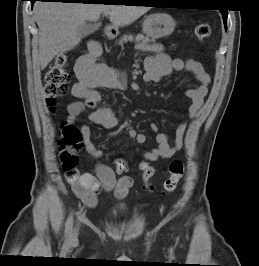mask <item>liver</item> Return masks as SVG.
Listing matches in <instances>:
<instances>
[{
	"label": "liver",
	"mask_w": 259,
	"mask_h": 266,
	"mask_svg": "<svg viewBox=\"0 0 259 266\" xmlns=\"http://www.w3.org/2000/svg\"><path fill=\"white\" fill-rule=\"evenodd\" d=\"M34 16L39 27V62L42 69L61 53L77 46L82 35L79 28L87 21H98L109 12L115 28L127 26L149 11L145 6L36 2Z\"/></svg>",
	"instance_id": "liver-1"
}]
</instances>
